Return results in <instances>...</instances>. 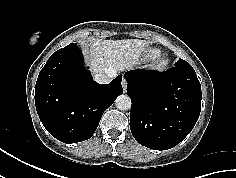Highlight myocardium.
I'll return each instance as SVG.
<instances>
[{"label":"myocardium","mask_w":236,"mask_h":178,"mask_svg":"<svg viewBox=\"0 0 236 178\" xmlns=\"http://www.w3.org/2000/svg\"><path fill=\"white\" fill-rule=\"evenodd\" d=\"M167 64H168V60L165 57L158 56L154 59L150 67L153 70L162 71L166 68Z\"/></svg>","instance_id":"myocardium-1"}]
</instances>
